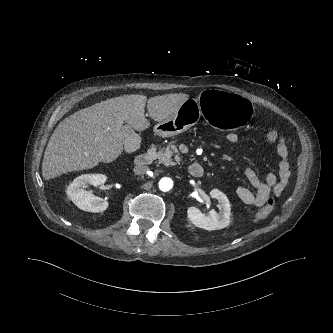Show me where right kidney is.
Here are the masks:
<instances>
[{"label":"right kidney","mask_w":333,"mask_h":333,"mask_svg":"<svg viewBox=\"0 0 333 333\" xmlns=\"http://www.w3.org/2000/svg\"><path fill=\"white\" fill-rule=\"evenodd\" d=\"M104 174H84L73 180L67 188V195L80 209L88 212H103L108 202L84 190L87 185L99 186L106 182Z\"/></svg>","instance_id":"ca27d5eb"}]
</instances>
